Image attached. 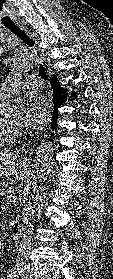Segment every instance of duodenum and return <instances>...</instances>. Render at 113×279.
I'll return each mask as SVG.
<instances>
[{"mask_svg":"<svg viewBox=\"0 0 113 279\" xmlns=\"http://www.w3.org/2000/svg\"><path fill=\"white\" fill-rule=\"evenodd\" d=\"M21 226L16 224L13 226L10 233V242L12 245L17 246L20 243Z\"/></svg>","mask_w":113,"mask_h":279,"instance_id":"1","label":"duodenum"}]
</instances>
